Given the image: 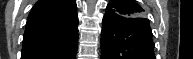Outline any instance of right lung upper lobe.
Wrapping results in <instances>:
<instances>
[{"mask_svg":"<svg viewBox=\"0 0 193 59\" xmlns=\"http://www.w3.org/2000/svg\"><path fill=\"white\" fill-rule=\"evenodd\" d=\"M76 34L75 0H39L28 16L21 53L49 51Z\"/></svg>","mask_w":193,"mask_h":59,"instance_id":"cb5924a9","label":"right lung upper lobe"}]
</instances>
